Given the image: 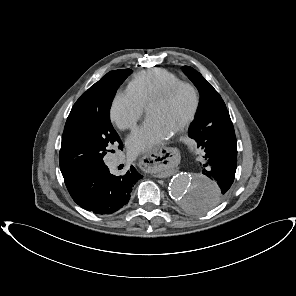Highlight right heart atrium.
<instances>
[{
    "instance_id": "right-heart-atrium-1",
    "label": "right heart atrium",
    "mask_w": 296,
    "mask_h": 296,
    "mask_svg": "<svg viewBox=\"0 0 296 296\" xmlns=\"http://www.w3.org/2000/svg\"><path fill=\"white\" fill-rule=\"evenodd\" d=\"M144 107L127 91L118 92L110 106V119L121 130L133 129L140 120Z\"/></svg>"
}]
</instances>
